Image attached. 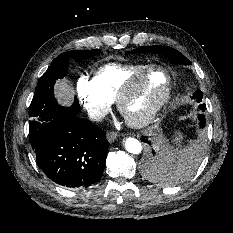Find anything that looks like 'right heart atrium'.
<instances>
[{"mask_svg":"<svg viewBox=\"0 0 233 233\" xmlns=\"http://www.w3.org/2000/svg\"><path fill=\"white\" fill-rule=\"evenodd\" d=\"M76 95L79 104L93 121L101 120L110 107V102L102 95L94 78L81 75L76 82Z\"/></svg>","mask_w":233,"mask_h":233,"instance_id":"right-heart-atrium-1","label":"right heart atrium"}]
</instances>
